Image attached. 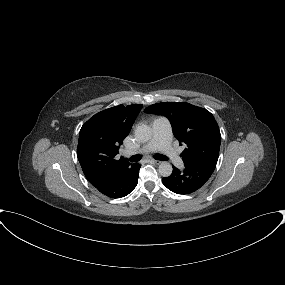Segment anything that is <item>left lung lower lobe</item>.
Segmentation results:
<instances>
[{
  "label": "left lung lower lobe",
  "instance_id": "obj_1",
  "mask_svg": "<svg viewBox=\"0 0 285 285\" xmlns=\"http://www.w3.org/2000/svg\"><path fill=\"white\" fill-rule=\"evenodd\" d=\"M216 165L211 163H199L185 165L183 170L173 166V172L169 177L163 178V184L177 194H190L201 188L212 175Z\"/></svg>",
  "mask_w": 285,
  "mask_h": 285
}]
</instances>
